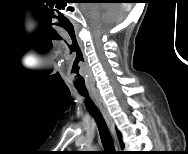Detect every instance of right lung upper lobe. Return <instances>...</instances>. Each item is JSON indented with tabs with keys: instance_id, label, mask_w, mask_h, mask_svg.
Wrapping results in <instances>:
<instances>
[{
	"instance_id": "obj_1",
	"label": "right lung upper lobe",
	"mask_w": 188,
	"mask_h": 154,
	"mask_svg": "<svg viewBox=\"0 0 188 154\" xmlns=\"http://www.w3.org/2000/svg\"><path fill=\"white\" fill-rule=\"evenodd\" d=\"M118 132V136H119V138L121 139V134H120V132L119 131H117ZM123 145V144H122Z\"/></svg>"
}]
</instances>
